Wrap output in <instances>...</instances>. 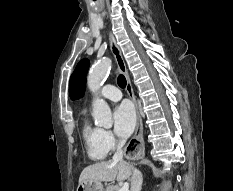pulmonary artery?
Returning a JSON list of instances; mask_svg holds the SVG:
<instances>
[{
	"label": "pulmonary artery",
	"instance_id": "pulmonary-artery-1",
	"mask_svg": "<svg viewBox=\"0 0 233 191\" xmlns=\"http://www.w3.org/2000/svg\"><path fill=\"white\" fill-rule=\"evenodd\" d=\"M100 96L106 100L116 102L121 99L122 94L117 87L113 85H105L100 92Z\"/></svg>",
	"mask_w": 233,
	"mask_h": 191
}]
</instances>
